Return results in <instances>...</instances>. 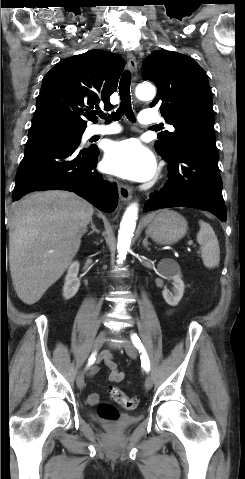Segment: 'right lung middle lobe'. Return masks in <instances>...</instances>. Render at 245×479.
<instances>
[{"mask_svg":"<svg viewBox=\"0 0 245 479\" xmlns=\"http://www.w3.org/2000/svg\"><path fill=\"white\" fill-rule=\"evenodd\" d=\"M84 129H71L66 127H49L30 130L26 149L54 139H71L80 143Z\"/></svg>","mask_w":245,"mask_h":479,"instance_id":"1","label":"right lung middle lobe"}]
</instances>
